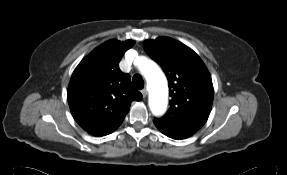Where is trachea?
I'll return each mask as SVG.
<instances>
[{"label":"trachea","mask_w":287,"mask_h":175,"mask_svg":"<svg viewBox=\"0 0 287 175\" xmlns=\"http://www.w3.org/2000/svg\"><path fill=\"white\" fill-rule=\"evenodd\" d=\"M132 84L133 86L138 89V90H141L143 89L144 87V80L143 78L141 77L140 74H135L132 78Z\"/></svg>","instance_id":"obj_1"}]
</instances>
